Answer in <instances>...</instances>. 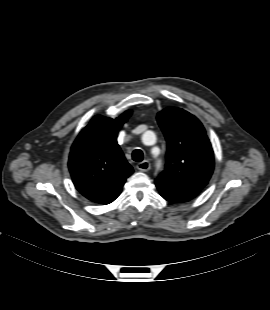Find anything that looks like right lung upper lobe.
<instances>
[{
  "label": "right lung upper lobe",
  "mask_w": 270,
  "mask_h": 310,
  "mask_svg": "<svg viewBox=\"0 0 270 310\" xmlns=\"http://www.w3.org/2000/svg\"><path fill=\"white\" fill-rule=\"evenodd\" d=\"M130 115L128 110L116 119L93 117L72 145L71 177L76 189L90 201L112 202L133 173L117 143L118 131Z\"/></svg>",
  "instance_id": "right-lung-upper-lobe-1"
}]
</instances>
